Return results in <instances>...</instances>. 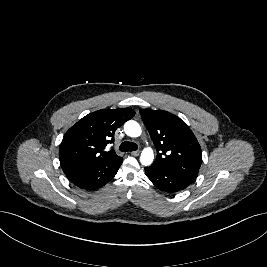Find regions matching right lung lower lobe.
<instances>
[{
    "instance_id": "98d812e1",
    "label": "right lung lower lobe",
    "mask_w": 267,
    "mask_h": 267,
    "mask_svg": "<svg viewBox=\"0 0 267 267\" xmlns=\"http://www.w3.org/2000/svg\"><path fill=\"white\" fill-rule=\"evenodd\" d=\"M122 162V157L108 159L104 162L73 171L66 174V176L74 185L82 189L94 190L107 184L116 175Z\"/></svg>"
}]
</instances>
